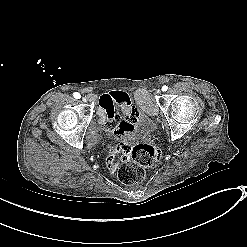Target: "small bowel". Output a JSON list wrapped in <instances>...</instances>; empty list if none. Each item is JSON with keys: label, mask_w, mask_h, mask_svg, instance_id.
Here are the masks:
<instances>
[{"label": "small bowel", "mask_w": 247, "mask_h": 247, "mask_svg": "<svg viewBox=\"0 0 247 247\" xmlns=\"http://www.w3.org/2000/svg\"><path fill=\"white\" fill-rule=\"evenodd\" d=\"M103 117L108 119L109 121H113L117 119L121 110L124 109L127 105V98L121 92H112L103 97ZM139 111L132 107L129 112L128 118L131 121H134L138 118ZM132 131V125L128 121H120L117 125V129L112 133V140L115 143H122L125 140V134ZM116 152H124L126 150V146L124 144H117L114 147ZM106 164L105 167L108 171L113 172L117 169V165L115 163L116 158L114 155L109 154L105 158Z\"/></svg>", "instance_id": "1"}]
</instances>
